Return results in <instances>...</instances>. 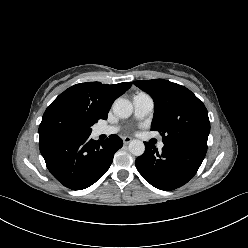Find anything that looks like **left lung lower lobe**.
Returning <instances> with one entry per match:
<instances>
[{
	"label": "left lung lower lobe",
	"mask_w": 248,
	"mask_h": 248,
	"mask_svg": "<svg viewBox=\"0 0 248 248\" xmlns=\"http://www.w3.org/2000/svg\"><path fill=\"white\" fill-rule=\"evenodd\" d=\"M145 152L135 165L143 178L160 190H174L186 184L199 169L207 146L185 143H164L162 152L145 142Z\"/></svg>",
	"instance_id": "left-lung-lower-lobe-1"
}]
</instances>
